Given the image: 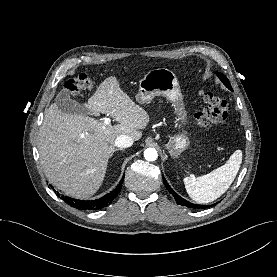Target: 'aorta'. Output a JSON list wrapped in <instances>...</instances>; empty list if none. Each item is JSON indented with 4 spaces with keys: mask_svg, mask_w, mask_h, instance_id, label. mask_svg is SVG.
I'll list each match as a JSON object with an SVG mask.
<instances>
[{
    "mask_svg": "<svg viewBox=\"0 0 277 277\" xmlns=\"http://www.w3.org/2000/svg\"><path fill=\"white\" fill-rule=\"evenodd\" d=\"M144 157L147 161H155L158 157V154L154 148H147L144 151Z\"/></svg>",
    "mask_w": 277,
    "mask_h": 277,
    "instance_id": "aorta-1",
    "label": "aorta"
}]
</instances>
